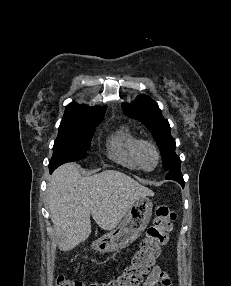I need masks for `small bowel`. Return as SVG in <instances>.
Listing matches in <instances>:
<instances>
[{
    "label": "small bowel",
    "instance_id": "c3829d8e",
    "mask_svg": "<svg viewBox=\"0 0 231 286\" xmlns=\"http://www.w3.org/2000/svg\"><path fill=\"white\" fill-rule=\"evenodd\" d=\"M142 286H171V281L167 273L159 265H156Z\"/></svg>",
    "mask_w": 231,
    "mask_h": 286
}]
</instances>
